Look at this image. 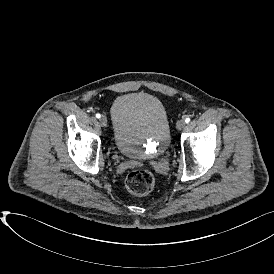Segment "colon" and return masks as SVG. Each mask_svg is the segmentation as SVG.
Returning a JSON list of instances; mask_svg holds the SVG:
<instances>
[{
  "label": "colon",
  "instance_id": "colon-1",
  "mask_svg": "<svg viewBox=\"0 0 274 274\" xmlns=\"http://www.w3.org/2000/svg\"><path fill=\"white\" fill-rule=\"evenodd\" d=\"M155 183V177L145 170L134 171L125 179L127 190L136 196H145L153 191Z\"/></svg>",
  "mask_w": 274,
  "mask_h": 274
}]
</instances>
